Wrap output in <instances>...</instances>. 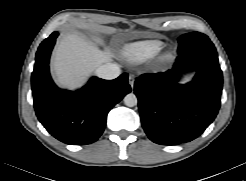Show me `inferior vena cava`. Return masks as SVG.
<instances>
[{"label":"inferior vena cava","mask_w":246,"mask_h":181,"mask_svg":"<svg viewBox=\"0 0 246 181\" xmlns=\"http://www.w3.org/2000/svg\"><path fill=\"white\" fill-rule=\"evenodd\" d=\"M121 70L117 64L106 63L96 69V75L102 79L111 80L117 78Z\"/></svg>","instance_id":"inferior-vena-cava-1"}]
</instances>
